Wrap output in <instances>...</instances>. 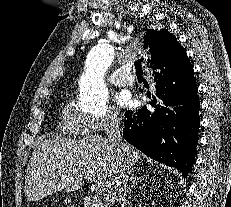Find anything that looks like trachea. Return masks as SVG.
I'll use <instances>...</instances> for the list:
<instances>
[{"label":"trachea","mask_w":231,"mask_h":207,"mask_svg":"<svg viewBox=\"0 0 231 207\" xmlns=\"http://www.w3.org/2000/svg\"><path fill=\"white\" fill-rule=\"evenodd\" d=\"M134 66L136 69V75L137 77H142L143 71H142V59H138L134 62Z\"/></svg>","instance_id":"trachea-1"}]
</instances>
